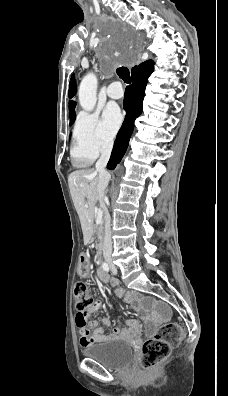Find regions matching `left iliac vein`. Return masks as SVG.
<instances>
[{
  "label": "left iliac vein",
  "instance_id": "1",
  "mask_svg": "<svg viewBox=\"0 0 228 396\" xmlns=\"http://www.w3.org/2000/svg\"><path fill=\"white\" fill-rule=\"evenodd\" d=\"M110 269L113 274H115V275L117 274V268L115 267V265L113 263H110Z\"/></svg>",
  "mask_w": 228,
  "mask_h": 396
}]
</instances>
